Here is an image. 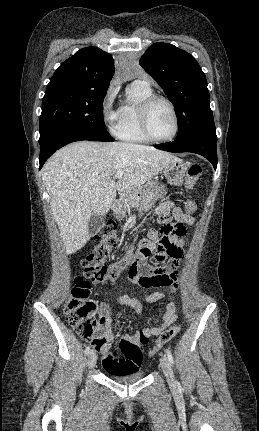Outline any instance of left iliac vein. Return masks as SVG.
I'll list each match as a JSON object with an SVG mask.
<instances>
[{
  "label": "left iliac vein",
  "instance_id": "left-iliac-vein-1",
  "mask_svg": "<svg viewBox=\"0 0 259 431\" xmlns=\"http://www.w3.org/2000/svg\"><path fill=\"white\" fill-rule=\"evenodd\" d=\"M160 364H161L163 373L167 379V382L169 383V385H174L175 378L168 358L166 356H163L161 358Z\"/></svg>",
  "mask_w": 259,
  "mask_h": 431
}]
</instances>
